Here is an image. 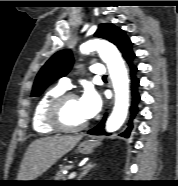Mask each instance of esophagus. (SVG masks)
<instances>
[{
  "mask_svg": "<svg viewBox=\"0 0 178 186\" xmlns=\"http://www.w3.org/2000/svg\"><path fill=\"white\" fill-rule=\"evenodd\" d=\"M113 104V100H111V102H110V106Z\"/></svg>",
  "mask_w": 178,
  "mask_h": 186,
  "instance_id": "obj_1",
  "label": "esophagus"
}]
</instances>
